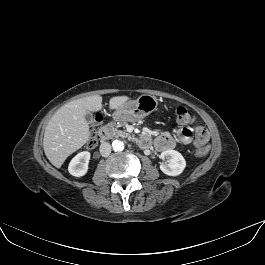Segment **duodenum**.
<instances>
[{"label":"duodenum","mask_w":265,"mask_h":265,"mask_svg":"<svg viewBox=\"0 0 265 265\" xmlns=\"http://www.w3.org/2000/svg\"><path fill=\"white\" fill-rule=\"evenodd\" d=\"M112 133V125L110 123L102 126L99 130V136L102 141L109 138ZM138 144L142 147H148L150 145V138L147 134H142L138 137Z\"/></svg>","instance_id":"duodenum-1"}]
</instances>
